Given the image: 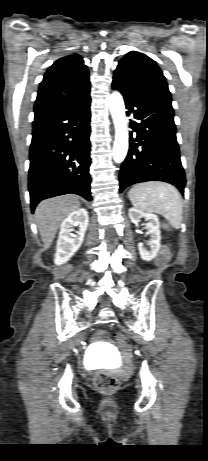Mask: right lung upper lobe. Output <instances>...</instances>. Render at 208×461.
Returning <instances> with one entry per match:
<instances>
[{
  "mask_svg": "<svg viewBox=\"0 0 208 461\" xmlns=\"http://www.w3.org/2000/svg\"><path fill=\"white\" fill-rule=\"evenodd\" d=\"M90 93L89 72L82 57L68 55L55 61L40 83L35 118L84 101Z\"/></svg>",
  "mask_w": 208,
  "mask_h": 461,
  "instance_id": "obj_1",
  "label": "right lung upper lobe"
}]
</instances>
